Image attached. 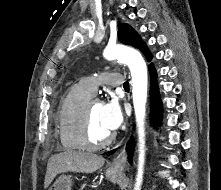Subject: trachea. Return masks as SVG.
<instances>
[{
	"instance_id": "3493384b",
	"label": "trachea",
	"mask_w": 221,
	"mask_h": 190,
	"mask_svg": "<svg viewBox=\"0 0 221 190\" xmlns=\"http://www.w3.org/2000/svg\"><path fill=\"white\" fill-rule=\"evenodd\" d=\"M124 89H129V83L128 82H125L124 85H123Z\"/></svg>"
}]
</instances>
